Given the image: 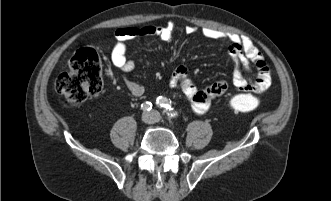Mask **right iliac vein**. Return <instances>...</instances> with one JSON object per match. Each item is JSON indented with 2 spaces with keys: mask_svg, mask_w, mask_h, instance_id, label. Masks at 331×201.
<instances>
[{
  "mask_svg": "<svg viewBox=\"0 0 331 201\" xmlns=\"http://www.w3.org/2000/svg\"><path fill=\"white\" fill-rule=\"evenodd\" d=\"M142 118L144 122L149 123L152 119V115L150 113H145Z\"/></svg>",
  "mask_w": 331,
  "mask_h": 201,
  "instance_id": "right-iliac-vein-1",
  "label": "right iliac vein"
}]
</instances>
